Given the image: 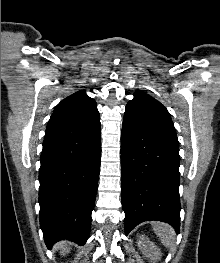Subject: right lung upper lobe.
I'll return each mask as SVG.
<instances>
[{
	"instance_id": "obj_1",
	"label": "right lung upper lobe",
	"mask_w": 220,
	"mask_h": 263,
	"mask_svg": "<svg viewBox=\"0 0 220 263\" xmlns=\"http://www.w3.org/2000/svg\"><path fill=\"white\" fill-rule=\"evenodd\" d=\"M99 127L97 104L81 90L65 98L55 107L45 137L81 138Z\"/></svg>"
}]
</instances>
